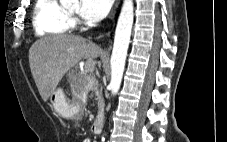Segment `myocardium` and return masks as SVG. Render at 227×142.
I'll return each mask as SVG.
<instances>
[{
    "instance_id": "1",
    "label": "myocardium",
    "mask_w": 227,
    "mask_h": 142,
    "mask_svg": "<svg viewBox=\"0 0 227 142\" xmlns=\"http://www.w3.org/2000/svg\"><path fill=\"white\" fill-rule=\"evenodd\" d=\"M66 14H67L68 18L71 20L72 23H79L80 22V19H79L77 12H71L69 10H66Z\"/></svg>"
}]
</instances>
